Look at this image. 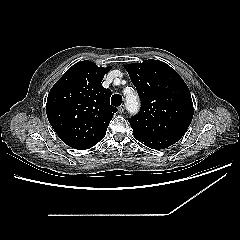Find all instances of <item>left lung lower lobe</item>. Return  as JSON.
Here are the masks:
<instances>
[{"mask_svg":"<svg viewBox=\"0 0 240 240\" xmlns=\"http://www.w3.org/2000/svg\"><path fill=\"white\" fill-rule=\"evenodd\" d=\"M133 133L134 137L138 141L152 149L167 148L181 139V137L179 136H166V135L155 136V135H142L135 132Z\"/></svg>","mask_w":240,"mask_h":240,"instance_id":"1","label":"left lung lower lobe"}]
</instances>
